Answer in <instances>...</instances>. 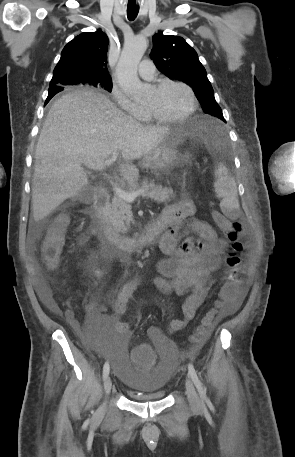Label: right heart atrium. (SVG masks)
I'll return each instance as SVG.
<instances>
[{"label": "right heart atrium", "instance_id": "1", "mask_svg": "<svg viewBox=\"0 0 295 457\" xmlns=\"http://www.w3.org/2000/svg\"><path fill=\"white\" fill-rule=\"evenodd\" d=\"M115 103L127 114L135 118H140L143 108L133 102L128 95L118 86L114 85L111 90Z\"/></svg>", "mask_w": 295, "mask_h": 457}]
</instances>
